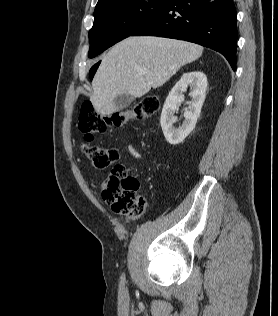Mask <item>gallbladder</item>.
Returning a JSON list of instances; mask_svg holds the SVG:
<instances>
[{"mask_svg":"<svg viewBox=\"0 0 278 316\" xmlns=\"http://www.w3.org/2000/svg\"><path fill=\"white\" fill-rule=\"evenodd\" d=\"M133 98L128 94H121L117 95L114 98V104L116 105L118 111H122L129 107V105L132 103Z\"/></svg>","mask_w":278,"mask_h":316,"instance_id":"gallbladder-1","label":"gallbladder"}]
</instances>
